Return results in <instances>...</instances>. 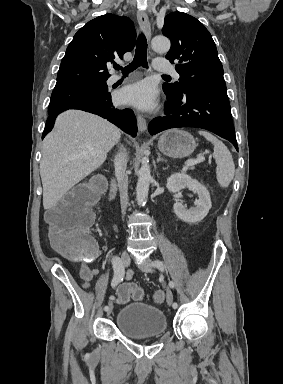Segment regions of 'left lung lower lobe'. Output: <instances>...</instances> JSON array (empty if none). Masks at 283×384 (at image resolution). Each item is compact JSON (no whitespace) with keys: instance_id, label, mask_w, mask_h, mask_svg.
<instances>
[{"instance_id":"left-lung-lower-lobe-1","label":"left lung lower lobe","mask_w":283,"mask_h":384,"mask_svg":"<svg viewBox=\"0 0 283 384\" xmlns=\"http://www.w3.org/2000/svg\"><path fill=\"white\" fill-rule=\"evenodd\" d=\"M165 94V115L149 123L150 134L178 127L203 128L229 140L238 150L226 90L187 87L178 94Z\"/></svg>"}]
</instances>
